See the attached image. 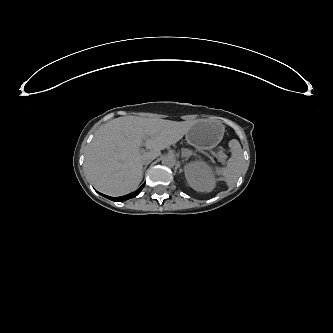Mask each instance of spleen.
Returning <instances> with one entry per match:
<instances>
[{"mask_svg": "<svg viewBox=\"0 0 333 333\" xmlns=\"http://www.w3.org/2000/svg\"><path fill=\"white\" fill-rule=\"evenodd\" d=\"M232 166H233V164H232V165H229L228 168H231Z\"/></svg>", "mask_w": 333, "mask_h": 333, "instance_id": "obj_1", "label": "spleen"}]
</instances>
